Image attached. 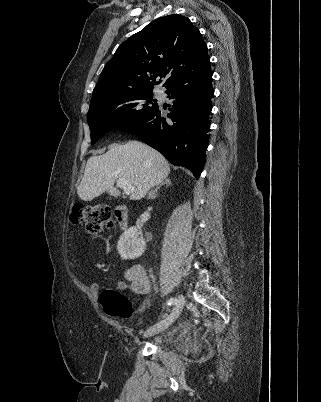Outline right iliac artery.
I'll return each mask as SVG.
<instances>
[{"label": "right iliac artery", "instance_id": "right-iliac-artery-1", "mask_svg": "<svg viewBox=\"0 0 321 402\" xmlns=\"http://www.w3.org/2000/svg\"><path fill=\"white\" fill-rule=\"evenodd\" d=\"M177 302H178V299H177V298H170V299L167 301V305L176 304Z\"/></svg>", "mask_w": 321, "mask_h": 402}]
</instances>
